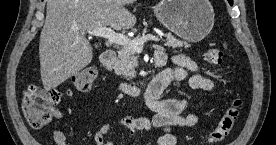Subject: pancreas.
<instances>
[{"label": "pancreas", "mask_w": 276, "mask_h": 145, "mask_svg": "<svg viewBox=\"0 0 276 145\" xmlns=\"http://www.w3.org/2000/svg\"><path fill=\"white\" fill-rule=\"evenodd\" d=\"M164 45L173 49L182 47L188 48L186 42L176 39L171 33H167ZM138 67V57L136 51L128 46H123L118 52V60L114 69L118 75H123L127 80H131L137 76L135 68Z\"/></svg>", "instance_id": "cf45deb5"}]
</instances>
